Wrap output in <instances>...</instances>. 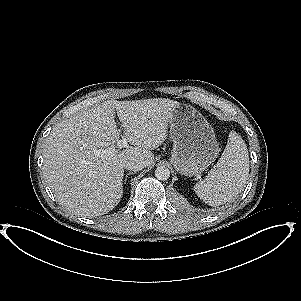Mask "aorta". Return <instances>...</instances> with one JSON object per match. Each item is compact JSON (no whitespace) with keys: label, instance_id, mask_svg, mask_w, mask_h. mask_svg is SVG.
<instances>
[{"label":"aorta","instance_id":"obj_1","mask_svg":"<svg viewBox=\"0 0 301 301\" xmlns=\"http://www.w3.org/2000/svg\"><path fill=\"white\" fill-rule=\"evenodd\" d=\"M155 176L159 180H167L170 177V171L165 166H159L155 170Z\"/></svg>","mask_w":301,"mask_h":301}]
</instances>
